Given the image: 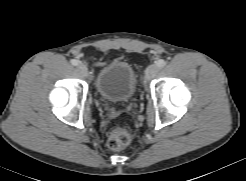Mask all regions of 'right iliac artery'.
Returning <instances> with one entry per match:
<instances>
[{"label":"right iliac artery","mask_w":246,"mask_h":181,"mask_svg":"<svg viewBox=\"0 0 246 181\" xmlns=\"http://www.w3.org/2000/svg\"><path fill=\"white\" fill-rule=\"evenodd\" d=\"M71 64L74 65V66H77L79 64V61L76 60V59H72L71 60Z\"/></svg>","instance_id":"right-iliac-artery-1"}]
</instances>
